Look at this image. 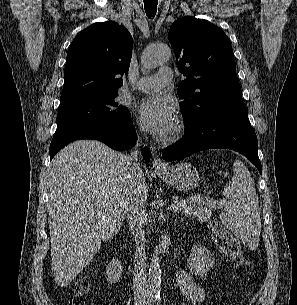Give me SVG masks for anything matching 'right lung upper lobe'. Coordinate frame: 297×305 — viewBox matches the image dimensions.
I'll list each match as a JSON object with an SVG mask.
<instances>
[{
	"mask_svg": "<svg viewBox=\"0 0 297 305\" xmlns=\"http://www.w3.org/2000/svg\"><path fill=\"white\" fill-rule=\"evenodd\" d=\"M133 39L114 22L95 23L82 30L67 53L61 100L93 92L118 91L127 75Z\"/></svg>",
	"mask_w": 297,
	"mask_h": 305,
	"instance_id": "1",
	"label": "right lung upper lobe"
}]
</instances>
